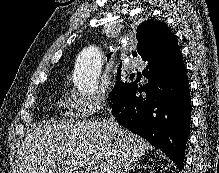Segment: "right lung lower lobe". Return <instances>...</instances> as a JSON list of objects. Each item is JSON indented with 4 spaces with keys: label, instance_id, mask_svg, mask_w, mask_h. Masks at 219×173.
<instances>
[{
    "label": "right lung lower lobe",
    "instance_id": "98d812e1",
    "mask_svg": "<svg viewBox=\"0 0 219 173\" xmlns=\"http://www.w3.org/2000/svg\"><path fill=\"white\" fill-rule=\"evenodd\" d=\"M146 61V69L128 83L110 108L120 125L147 139L181 170L191 120L185 64L183 58L173 64L153 56Z\"/></svg>",
    "mask_w": 219,
    "mask_h": 173
}]
</instances>
